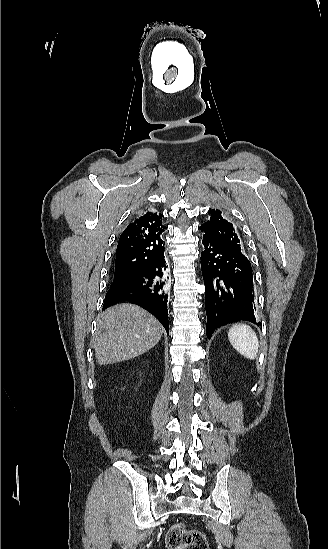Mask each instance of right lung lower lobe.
<instances>
[{"label":"right lung lower lobe","instance_id":"98d812e1","mask_svg":"<svg viewBox=\"0 0 328 549\" xmlns=\"http://www.w3.org/2000/svg\"><path fill=\"white\" fill-rule=\"evenodd\" d=\"M166 267L163 252L138 274L110 286L103 309L129 301L152 313L169 334Z\"/></svg>","mask_w":328,"mask_h":549}]
</instances>
